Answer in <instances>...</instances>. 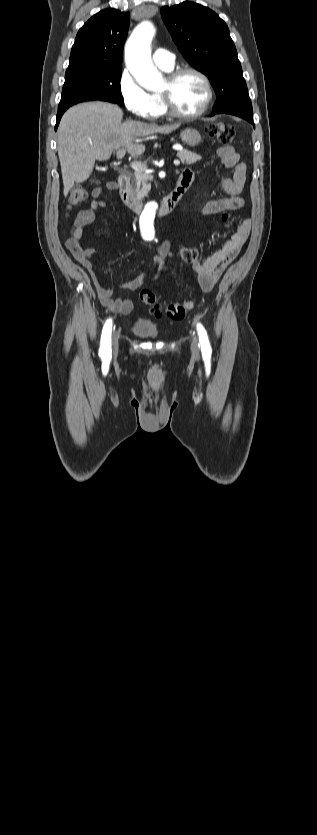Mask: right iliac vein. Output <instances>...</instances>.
Here are the masks:
<instances>
[{"label":"right iliac vein","mask_w":317,"mask_h":835,"mask_svg":"<svg viewBox=\"0 0 317 835\" xmlns=\"http://www.w3.org/2000/svg\"><path fill=\"white\" fill-rule=\"evenodd\" d=\"M112 344H113L114 350L116 351L117 348H118V340H117V337H116L115 334H113V337H112Z\"/></svg>","instance_id":"63e3f726"}]
</instances>
